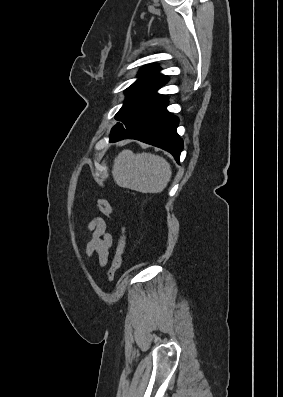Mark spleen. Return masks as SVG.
<instances>
[{
	"label": "spleen",
	"mask_w": 283,
	"mask_h": 397,
	"mask_svg": "<svg viewBox=\"0 0 283 397\" xmlns=\"http://www.w3.org/2000/svg\"><path fill=\"white\" fill-rule=\"evenodd\" d=\"M112 175L120 187L142 193H161L171 179L172 170L161 156L123 150L114 159Z\"/></svg>",
	"instance_id": "spleen-1"
}]
</instances>
